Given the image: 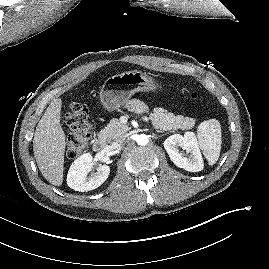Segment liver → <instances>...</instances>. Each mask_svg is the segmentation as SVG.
I'll use <instances>...</instances> for the list:
<instances>
[{"mask_svg": "<svg viewBox=\"0 0 269 269\" xmlns=\"http://www.w3.org/2000/svg\"><path fill=\"white\" fill-rule=\"evenodd\" d=\"M62 100L55 99L40 119L33 138V151L43 177L55 186L63 182L65 133L60 125Z\"/></svg>", "mask_w": 269, "mask_h": 269, "instance_id": "liver-1", "label": "liver"}]
</instances>
